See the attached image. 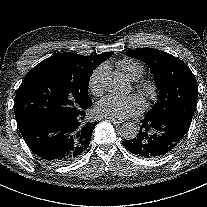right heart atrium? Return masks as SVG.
I'll return each mask as SVG.
<instances>
[{
  "instance_id": "obj_1",
  "label": "right heart atrium",
  "mask_w": 207,
  "mask_h": 207,
  "mask_svg": "<svg viewBox=\"0 0 207 207\" xmlns=\"http://www.w3.org/2000/svg\"><path fill=\"white\" fill-rule=\"evenodd\" d=\"M109 72V64L107 62L96 67L89 77V89L94 95H102L106 89V79Z\"/></svg>"
}]
</instances>
